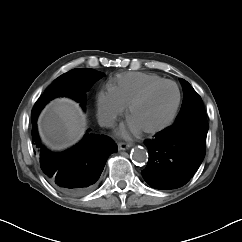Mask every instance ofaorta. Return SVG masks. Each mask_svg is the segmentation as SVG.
Returning a JSON list of instances; mask_svg holds the SVG:
<instances>
[{
  "label": "aorta",
  "mask_w": 242,
  "mask_h": 242,
  "mask_svg": "<svg viewBox=\"0 0 242 242\" xmlns=\"http://www.w3.org/2000/svg\"><path fill=\"white\" fill-rule=\"evenodd\" d=\"M131 158L138 163H144L148 159V152L141 146H136L131 150Z\"/></svg>",
  "instance_id": "aorta-1"
}]
</instances>
